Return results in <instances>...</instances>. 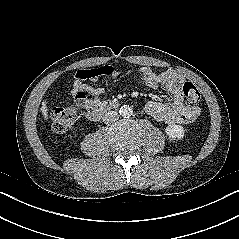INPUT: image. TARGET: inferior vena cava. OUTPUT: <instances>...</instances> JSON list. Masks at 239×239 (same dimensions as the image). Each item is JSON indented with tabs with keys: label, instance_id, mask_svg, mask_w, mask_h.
<instances>
[{
	"label": "inferior vena cava",
	"instance_id": "obj_1",
	"mask_svg": "<svg viewBox=\"0 0 239 239\" xmlns=\"http://www.w3.org/2000/svg\"><path fill=\"white\" fill-rule=\"evenodd\" d=\"M102 119L105 124L113 123L118 120V113L116 111H108Z\"/></svg>",
	"mask_w": 239,
	"mask_h": 239
}]
</instances>
